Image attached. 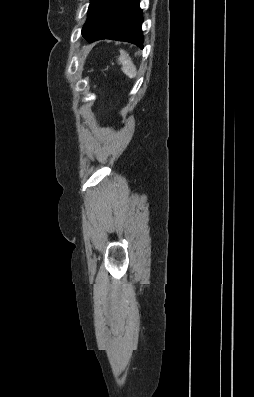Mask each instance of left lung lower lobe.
I'll use <instances>...</instances> for the list:
<instances>
[{
	"label": "left lung lower lobe",
	"mask_w": 254,
	"mask_h": 397,
	"mask_svg": "<svg viewBox=\"0 0 254 397\" xmlns=\"http://www.w3.org/2000/svg\"><path fill=\"white\" fill-rule=\"evenodd\" d=\"M142 21L139 0H109L98 26L86 40L127 41L143 48Z\"/></svg>",
	"instance_id": "left-lung-lower-lobe-1"
}]
</instances>
